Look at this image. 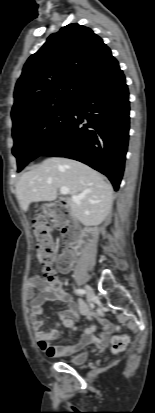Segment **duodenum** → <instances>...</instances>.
Wrapping results in <instances>:
<instances>
[{
    "instance_id": "410a0bca",
    "label": "duodenum",
    "mask_w": 155,
    "mask_h": 413,
    "mask_svg": "<svg viewBox=\"0 0 155 413\" xmlns=\"http://www.w3.org/2000/svg\"><path fill=\"white\" fill-rule=\"evenodd\" d=\"M85 236H86V237H89V236H90V233H87Z\"/></svg>"
}]
</instances>
